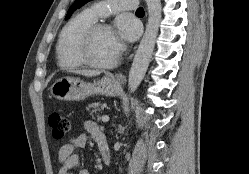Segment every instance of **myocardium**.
<instances>
[{
    "mask_svg": "<svg viewBox=\"0 0 249 174\" xmlns=\"http://www.w3.org/2000/svg\"><path fill=\"white\" fill-rule=\"evenodd\" d=\"M100 31H113V29L108 24L94 23L83 33L77 48V52L83 64L95 69H108L115 66L118 62L120 48L118 49L115 57L111 61L105 63L94 61L90 57L89 50L93 37Z\"/></svg>",
    "mask_w": 249,
    "mask_h": 174,
    "instance_id": "obj_1",
    "label": "myocardium"
}]
</instances>
